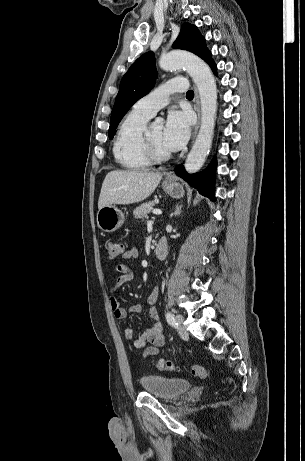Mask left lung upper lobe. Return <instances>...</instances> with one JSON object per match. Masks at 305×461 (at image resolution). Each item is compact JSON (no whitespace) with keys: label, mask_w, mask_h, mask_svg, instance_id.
I'll return each mask as SVG.
<instances>
[{"label":"left lung upper lobe","mask_w":305,"mask_h":461,"mask_svg":"<svg viewBox=\"0 0 305 461\" xmlns=\"http://www.w3.org/2000/svg\"><path fill=\"white\" fill-rule=\"evenodd\" d=\"M172 47L193 52L207 63L212 60L204 37L200 34L196 26L189 23L182 25L181 31ZM156 74L154 53L147 52L139 57L123 76L111 113L110 139L113 138L116 127L130 107L153 88L157 77Z\"/></svg>","instance_id":"left-lung-upper-lobe-1"}]
</instances>
